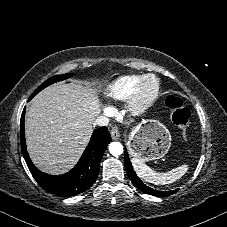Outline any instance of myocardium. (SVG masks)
<instances>
[{"instance_id": "f54148a6", "label": "myocardium", "mask_w": 227, "mask_h": 227, "mask_svg": "<svg viewBox=\"0 0 227 227\" xmlns=\"http://www.w3.org/2000/svg\"><path fill=\"white\" fill-rule=\"evenodd\" d=\"M159 93L157 78L149 74L142 75L127 100L128 113L133 116L143 114L156 101Z\"/></svg>"}]
</instances>
